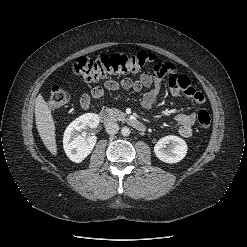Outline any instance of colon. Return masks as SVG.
I'll use <instances>...</instances> for the list:
<instances>
[{
  "mask_svg": "<svg viewBox=\"0 0 247 247\" xmlns=\"http://www.w3.org/2000/svg\"><path fill=\"white\" fill-rule=\"evenodd\" d=\"M149 64H152L157 75L167 67L165 63L156 62L154 54L141 51L136 54L113 53L97 57L82 56L73 64V71L84 80L94 82L112 74L138 72ZM68 101L67 91L59 86H54L50 91L47 104L51 110H57L65 106ZM197 122L201 128H209L210 114L206 110H200L197 113Z\"/></svg>",
  "mask_w": 247,
  "mask_h": 247,
  "instance_id": "obj_1",
  "label": "colon"
}]
</instances>
